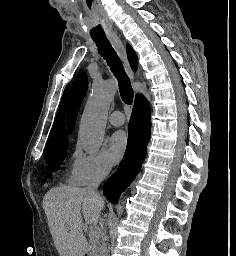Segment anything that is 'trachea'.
I'll list each match as a JSON object with an SVG mask.
<instances>
[{
	"label": "trachea",
	"mask_w": 236,
	"mask_h": 256,
	"mask_svg": "<svg viewBox=\"0 0 236 256\" xmlns=\"http://www.w3.org/2000/svg\"><path fill=\"white\" fill-rule=\"evenodd\" d=\"M98 52L106 60L110 69L118 80L119 91L124 103L130 105L133 101L134 91L130 78L125 73L121 60L107 38L94 39Z\"/></svg>",
	"instance_id": "obj_1"
}]
</instances>
